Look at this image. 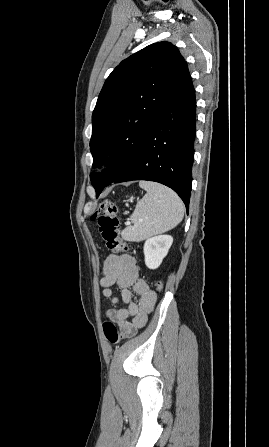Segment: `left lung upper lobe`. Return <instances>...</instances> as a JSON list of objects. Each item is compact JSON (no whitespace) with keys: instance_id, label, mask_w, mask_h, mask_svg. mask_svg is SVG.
<instances>
[{"instance_id":"obj_1","label":"left lung upper lobe","mask_w":269,"mask_h":447,"mask_svg":"<svg viewBox=\"0 0 269 447\" xmlns=\"http://www.w3.org/2000/svg\"><path fill=\"white\" fill-rule=\"evenodd\" d=\"M184 65L174 45L158 42L123 60L106 79L92 115V168L113 161L108 170L91 173L95 190L128 166L161 116Z\"/></svg>"}]
</instances>
